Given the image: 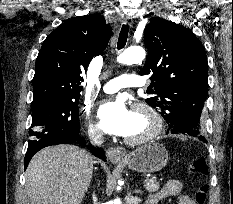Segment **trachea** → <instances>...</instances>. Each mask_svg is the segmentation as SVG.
I'll return each mask as SVG.
<instances>
[{
  "mask_svg": "<svg viewBox=\"0 0 233 204\" xmlns=\"http://www.w3.org/2000/svg\"><path fill=\"white\" fill-rule=\"evenodd\" d=\"M128 32H129V26L123 24L120 34H119L118 44H117V48L119 50L122 49L126 45L127 38H128Z\"/></svg>",
  "mask_w": 233,
  "mask_h": 204,
  "instance_id": "3493384b",
  "label": "trachea"
}]
</instances>
